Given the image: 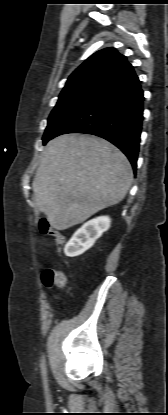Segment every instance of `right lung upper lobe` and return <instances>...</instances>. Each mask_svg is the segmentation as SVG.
<instances>
[{"mask_svg":"<svg viewBox=\"0 0 168 415\" xmlns=\"http://www.w3.org/2000/svg\"><path fill=\"white\" fill-rule=\"evenodd\" d=\"M126 57L115 48H105L91 55L68 78L61 95L80 92H103L133 71Z\"/></svg>","mask_w":168,"mask_h":415,"instance_id":"cb5924a9","label":"right lung upper lobe"}]
</instances>
